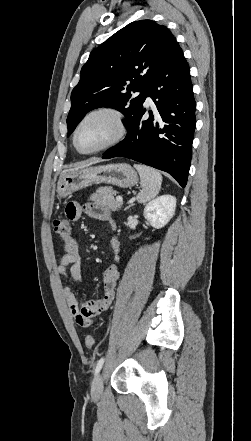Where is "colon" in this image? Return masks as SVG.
I'll list each match as a JSON object with an SVG mask.
<instances>
[{"mask_svg":"<svg viewBox=\"0 0 251 441\" xmlns=\"http://www.w3.org/2000/svg\"><path fill=\"white\" fill-rule=\"evenodd\" d=\"M53 230L55 234L63 242H68L71 239V226L67 219L57 218L53 222ZM95 344L93 335H87L85 337V345L87 348H92Z\"/></svg>","mask_w":251,"mask_h":441,"instance_id":"1","label":"colon"}]
</instances>
